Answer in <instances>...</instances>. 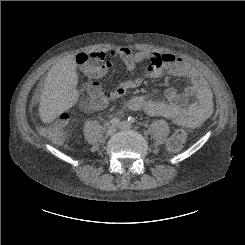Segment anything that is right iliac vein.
Masks as SVG:
<instances>
[{
  "label": "right iliac vein",
  "instance_id": "63e3f726",
  "mask_svg": "<svg viewBox=\"0 0 245 245\" xmlns=\"http://www.w3.org/2000/svg\"><path fill=\"white\" fill-rule=\"evenodd\" d=\"M116 131H117L116 127H114V126L109 127L107 130V135L112 136L116 133Z\"/></svg>",
  "mask_w": 245,
  "mask_h": 245
}]
</instances>
